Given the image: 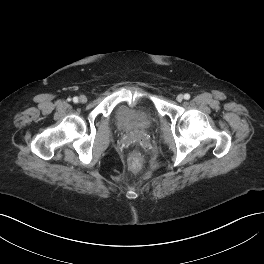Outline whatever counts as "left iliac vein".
<instances>
[{"label": "left iliac vein", "instance_id": "obj_1", "mask_svg": "<svg viewBox=\"0 0 264 264\" xmlns=\"http://www.w3.org/2000/svg\"><path fill=\"white\" fill-rule=\"evenodd\" d=\"M184 99V96L182 94H179L177 97H176V100L178 102H181L182 100Z\"/></svg>", "mask_w": 264, "mask_h": 264}]
</instances>
